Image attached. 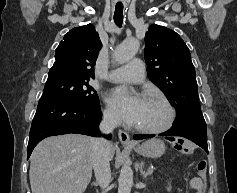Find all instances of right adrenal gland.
<instances>
[{
	"label": "right adrenal gland",
	"mask_w": 237,
	"mask_h": 193,
	"mask_svg": "<svg viewBox=\"0 0 237 193\" xmlns=\"http://www.w3.org/2000/svg\"><path fill=\"white\" fill-rule=\"evenodd\" d=\"M92 185L93 186H98V183L97 182H93Z\"/></svg>",
	"instance_id": "obj_1"
}]
</instances>
